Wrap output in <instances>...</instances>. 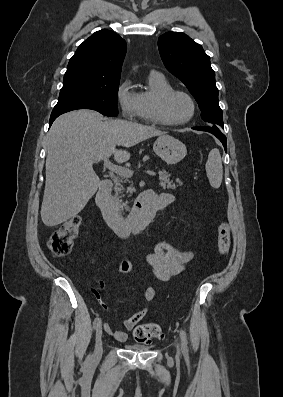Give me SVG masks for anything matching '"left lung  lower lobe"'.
I'll list each match as a JSON object with an SVG mask.
<instances>
[{
	"label": "left lung lower lobe",
	"instance_id": "0a47b994",
	"mask_svg": "<svg viewBox=\"0 0 283 397\" xmlns=\"http://www.w3.org/2000/svg\"><path fill=\"white\" fill-rule=\"evenodd\" d=\"M192 129L212 133L222 142L225 152L227 151V146H226L227 139H226V136L224 135L223 131H218L211 127H193Z\"/></svg>",
	"mask_w": 283,
	"mask_h": 397
}]
</instances>
